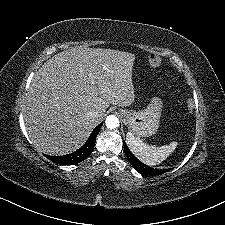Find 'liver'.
Segmentation results:
<instances>
[{"instance_id":"liver-1","label":"liver","mask_w":225,"mask_h":225,"mask_svg":"<svg viewBox=\"0 0 225 225\" xmlns=\"http://www.w3.org/2000/svg\"><path fill=\"white\" fill-rule=\"evenodd\" d=\"M134 60L128 52L78 47L46 61L32 78L23 109L34 147L48 155L71 153L87 140L110 104L130 106ZM88 111L99 116L91 118Z\"/></svg>"}]
</instances>
